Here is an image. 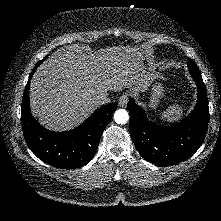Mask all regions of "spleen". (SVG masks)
Masks as SVG:
<instances>
[{"mask_svg": "<svg viewBox=\"0 0 221 221\" xmlns=\"http://www.w3.org/2000/svg\"><path fill=\"white\" fill-rule=\"evenodd\" d=\"M183 109L181 106L172 105L169 109L161 113V119L168 123H175L181 120Z\"/></svg>", "mask_w": 221, "mask_h": 221, "instance_id": "1", "label": "spleen"}]
</instances>
